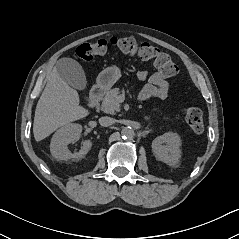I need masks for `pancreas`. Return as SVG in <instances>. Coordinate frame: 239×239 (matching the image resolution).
<instances>
[{
	"label": "pancreas",
	"mask_w": 239,
	"mask_h": 239,
	"mask_svg": "<svg viewBox=\"0 0 239 239\" xmlns=\"http://www.w3.org/2000/svg\"><path fill=\"white\" fill-rule=\"evenodd\" d=\"M120 94L119 88L111 89L103 98L101 109L108 114H116L120 111V103L118 96ZM168 119V118H167Z\"/></svg>",
	"instance_id": "obj_1"
}]
</instances>
